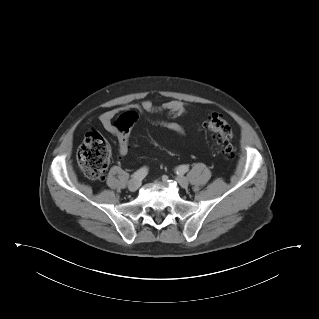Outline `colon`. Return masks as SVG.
Wrapping results in <instances>:
<instances>
[{
  "label": "colon",
  "mask_w": 319,
  "mask_h": 319,
  "mask_svg": "<svg viewBox=\"0 0 319 319\" xmlns=\"http://www.w3.org/2000/svg\"><path fill=\"white\" fill-rule=\"evenodd\" d=\"M137 121L133 111L122 114L115 123L120 139L127 143L130 130ZM204 128L210 132L220 145L222 154L231 159L233 156V132L230 124L220 114L210 115L204 123ZM110 157L108 141L98 132H89L77 152V162L85 176L91 181H101L104 178Z\"/></svg>",
  "instance_id": "colon-1"
}]
</instances>
